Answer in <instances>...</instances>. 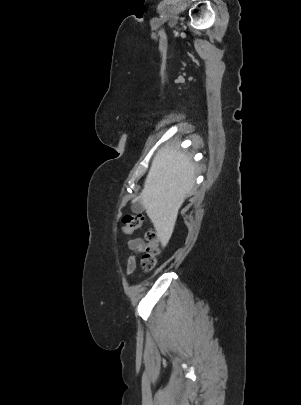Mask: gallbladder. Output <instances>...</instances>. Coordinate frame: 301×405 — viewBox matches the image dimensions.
Returning <instances> with one entry per match:
<instances>
[{"label": "gallbladder", "mask_w": 301, "mask_h": 405, "mask_svg": "<svg viewBox=\"0 0 301 405\" xmlns=\"http://www.w3.org/2000/svg\"><path fill=\"white\" fill-rule=\"evenodd\" d=\"M144 206L142 205L141 201H135L132 206H131V210L132 212L136 213V214H140L144 211Z\"/></svg>", "instance_id": "gallbladder-1"}]
</instances>
